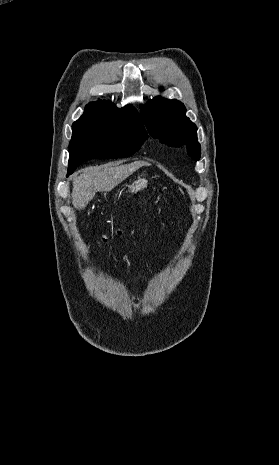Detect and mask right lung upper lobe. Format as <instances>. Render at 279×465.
I'll list each match as a JSON object with an SVG mask.
<instances>
[{"instance_id":"cb5924a9","label":"right lung upper lobe","mask_w":279,"mask_h":465,"mask_svg":"<svg viewBox=\"0 0 279 465\" xmlns=\"http://www.w3.org/2000/svg\"><path fill=\"white\" fill-rule=\"evenodd\" d=\"M103 124L133 125L139 127L146 135L140 115L131 105L116 108L111 101L90 102L83 116L75 121L72 129H84Z\"/></svg>"}]
</instances>
